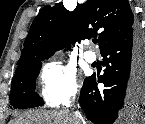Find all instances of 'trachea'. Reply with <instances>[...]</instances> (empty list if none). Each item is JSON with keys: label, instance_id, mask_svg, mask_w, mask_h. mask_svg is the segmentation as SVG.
<instances>
[{"label": "trachea", "instance_id": "obj_1", "mask_svg": "<svg viewBox=\"0 0 145 124\" xmlns=\"http://www.w3.org/2000/svg\"><path fill=\"white\" fill-rule=\"evenodd\" d=\"M92 41H93L94 44H96L98 42L97 39H93Z\"/></svg>", "mask_w": 145, "mask_h": 124}]
</instances>
